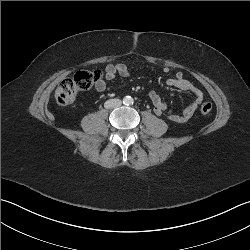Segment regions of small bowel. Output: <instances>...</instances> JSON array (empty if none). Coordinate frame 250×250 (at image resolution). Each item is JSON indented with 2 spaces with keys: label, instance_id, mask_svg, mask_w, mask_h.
Returning a JSON list of instances; mask_svg holds the SVG:
<instances>
[{
  "label": "small bowel",
  "instance_id": "small-bowel-1",
  "mask_svg": "<svg viewBox=\"0 0 250 250\" xmlns=\"http://www.w3.org/2000/svg\"><path fill=\"white\" fill-rule=\"evenodd\" d=\"M170 69L165 67L162 73H169ZM130 69L123 63L108 64L104 70V78L98 80L95 84L97 92H104L107 90V81H112L117 75L121 77H128ZM165 84L169 87L177 88L181 91L190 92L193 95L192 101L185 107L181 114H170L167 119L177 124L187 123L196 113L199 105L204 99V92L192 82L186 79L182 72H176L173 77L165 80ZM149 98L153 105V110L156 115L161 116L167 109V105L162 101L161 97L155 90L149 92Z\"/></svg>",
  "mask_w": 250,
  "mask_h": 250
}]
</instances>
